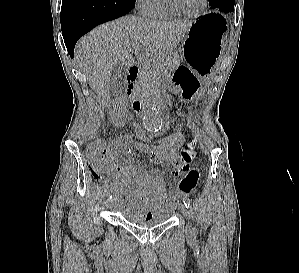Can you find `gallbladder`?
<instances>
[{
    "instance_id": "1",
    "label": "gallbladder",
    "mask_w": 299,
    "mask_h": 273,
    "mask_svg": "<svg viewBox=\"0 0 299 273\" xmlns=\"http://www.w3.org/2000/svg\"><path fill=\"white\" fill-rule=\"evenodd\" d=\"M127 70L121 62H118L112 70L109 88L112 96L115 98H123L125 96Z\"/></svg>"
}]
</instances>
